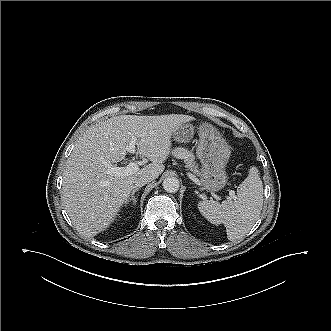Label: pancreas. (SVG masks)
<instances>
[{
	"label": "pancreas",
	"mask_w": 331,
	"mask_h": 331,
	"mask_svg": "<svg viewBox=\"0 0 331 331\" xmlns=\"http://www.w3.org/2000/svg\"><path fill=\"white\" fill-rule=\"evenodd\" d=\"M173 154L175 156H179L181 159H183L184 162L186 163L187 168L189 170H191L193 173H195V174L199 173V171L197 169L198 165H196L194 162L195 156L191 152H189L185 149H182V148H177V149L173 150Z\"/></svg>",
	"instance_id": "cf45deb5"
}]
</instances>
